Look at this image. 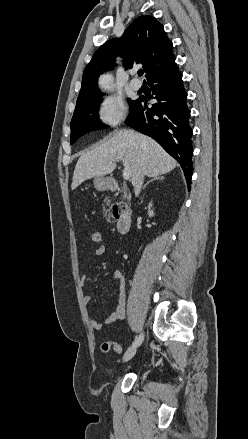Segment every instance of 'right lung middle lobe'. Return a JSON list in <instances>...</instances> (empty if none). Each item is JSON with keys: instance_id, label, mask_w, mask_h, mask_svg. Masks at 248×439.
<instances>
[{"instance_id": "1", "label": "right lung middle lobe", "mask_w": 248, "mask_h": 439, "mask_svg": "<svg viewBox=\"0 0 248 439\" xmlns=\"http://www.w3.org/2000/svg\"><path fill=\"white\" fill-rule=\"evenodd\" d=\"M101 101L102 100L100 97L94 98L78 108H75L70 124V144L75 143L81 136L90 131L105 129L108 127L102 124L98 119V105ZM135 102L136 100H129L130 110L134 106Z\"/></svg>"}]
</instances>
